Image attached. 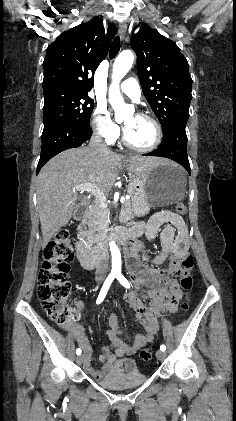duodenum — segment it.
Here are the masks:
<instances>
[{
	"instance_id": "1",
	"label": "duodenum",
	"mask_w": 236,
	"mask_h": 421,
	"mask_svg": "<svg viewBox=\"0 0 236 421\" xmlns=\"http://www.w3.org/2000/svg\"><path fill=\"white\" fill-rule=\"evenodd\" d=\"M86 203H81L75 210L74 217L77 221L84 220L86 216ZM139 236V233L132 228L123 229L119 228L113 233V238L122 244L125 248L127 262L129 269L133 275L134 281L138 285H148L151 287L145 294L148 299L150 309L158 312L169 310L172 311L175 307L179 295L177 290L171 281L166 278V273L163 270L152 269L145 264L141 263L136 257V250L140 248V244L135 241V238ZM77 257L81 265L86 269H93L100 266L105 260V254L103 251L98 249H90L87 244L79 238L76 242ZM172 258V265L170 272L176 274L178 270V255L177 247L175 246L170 252ZM163 256H157L153 262L159 263ZM134 309L140 312L142 315H147L150 318V314L146 313V310H140L138 307ZM153 321L149 319L146 322L147 334L137 339V343L145 341L152 333H154ZM75 339L78 342L85 341L81 332H72ZM108 334L113 342V345L118 347L116 350L117 356H122L124 353L129 352L132 347L125 345L118 338V331L116 329H110ZM116 356L111 354L109 350H106L104 355L100 356L102 362H106V365L102 370L98 371L89 365L88 357L84 361L85 369L96 379L100 378L109 368L110 364L115 360Z\"/></svg>"
}]
</instances>
